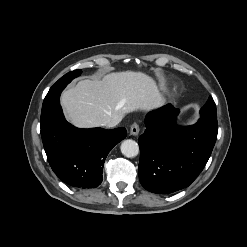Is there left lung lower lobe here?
<instances>
[{"label":"left lung lower lobe","instance_id":"obj_1","mask_svg":"<svg viewBox=\"0 0 247 247\" xmlns=\"http://www.w3.org/2000/svg\"><path fill=\"white\" fill-rule=\"evenodd\" d=\"M179 110L167 104L145 117L147 129L139 137V179L151 192L169 194L189 186L206 165L218 128L199 122L176 125Z\"/></svg>","mask_w":247,"mask_h":247}]
</instances>
